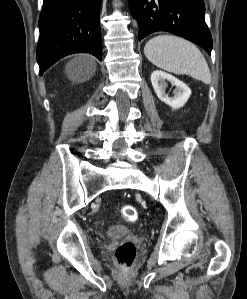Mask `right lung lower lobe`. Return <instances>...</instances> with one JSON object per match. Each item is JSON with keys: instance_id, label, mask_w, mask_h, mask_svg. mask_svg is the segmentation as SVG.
Wrapping results in <instances>:
<instances>
[{"instance_id": "obj_1", "label": "right lung lower lobe", "mask_w": 247, "mask_h": 299, "mask_svg": "<svg viewBox=\"0 0 247 299\" xmlns=\"http://www.w3.org/2000/svg\"><path fill=\"white\" fill-rule=\"evenodd\" d=\"M100 6L101 0H43L36 56L40 75L73 53H91L101 60Z\"/></svg>"}]
</instances>
